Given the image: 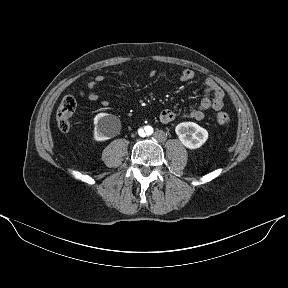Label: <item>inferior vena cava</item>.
I'll return each instance as SVG.
<instances>
[{"label": "inferior vena cava", "mask_w": 288, "mask_h": 288, "mask_svg": "<svg viewBox=\"0 0 288 288\" xmlns=\"http://www.w3.org/2000/svg\"><path fill=\"white\" fill-rule=\"evenodd\" d=\"M153 139L157 143H163L167 139V133L163 129H158L153 134Z\"/></svg>", "instance_id": "obj_1"}]
</instances>
